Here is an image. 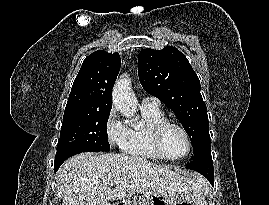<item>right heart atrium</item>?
<instances>
[{
	"label": "right heart atrium",
	"mask_w": 269,
	"mask_h": 205,
	"mask_svg": "<svg viewBox=\"0 0 269 205\" xmlns=\"http://www.w3.org/2000/svg\"><path fill=\"white\" fill-rule=\"evenodd\" d=\"M104 129L109 144L123 150L128 143L129 129L119 119L115 109H111L108 113Z\"/></svg>",
	"instance_id": "1"
}]
</instances>
